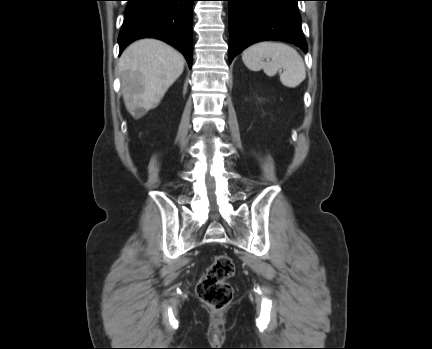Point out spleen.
I'll return each mask as SVG.
<instances>
[{"label":"spleen","instance_id":"spleen-1","mask_svg":"<svg viewBox=\"0 0 432 349\" xmlns=\"http://www.w3.org/2000/svg\"><path fill=\"white\" fill-rule=\"evenodd\" d=\"M242 60L248 69H263L270 77L283 69L280 81L289 88L297 87L306 78L302 57L294 48L284 43L265 41L254 44L242 53Z\"/></svg>","mask_w":432,"mask_h":349}]
</instances>
